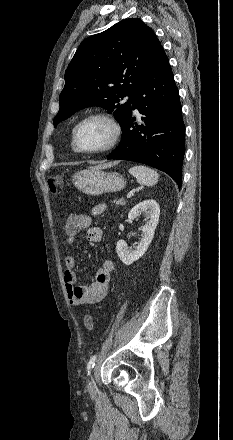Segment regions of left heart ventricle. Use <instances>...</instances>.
Returning <instances> with one entry per match:
<instances>
[{
  "mask_svg": "<svg viewBox=\"0 0 233 440\" xmlns=\"http://www.w3.org/2000/svg\"><path fill=\"white\" fill-rule=\"evenodd\" d=\"M111 137L110 127L102 120L93 119L81 125L77 135L78 145L86 150L103 147Z\"/></svg>",
  "mask_w": 233,
  "mask_h": 440,
  "instance_id": "1",
  "label": "left heart ventricle"
}]
</instances>
